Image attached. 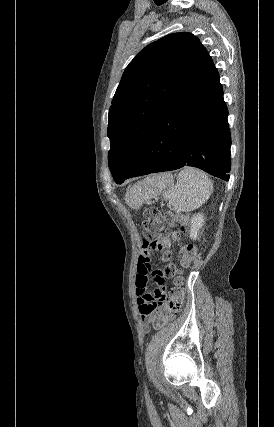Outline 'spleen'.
<instances>
[{
    "label": "spleen",
    "instance_id": "spleen-1",
    "mask_svg": "<svg viewBox=\"0 0 274 427\" xmlns=\"http://www.w3.org/2000/svg\"><path fill=\"white\" fill-rule=\"evenodd\" d=\"M212 186L213 184L207 174L201 170H196V168L186 166L184 170L179 172L175 186L166 188L164 182H160L158 178L156 180L146 178L143 182H138L137 186H133V188L151 190L152 196L162 194L165 200H169V208H172L174 212H193L207 202L212 194ZM133 196L136 202L134 208H137L143 194L133 192Z\"/></svg>",
    "mask_w": 274,
    "mask_h": 427
}]
</instances>
